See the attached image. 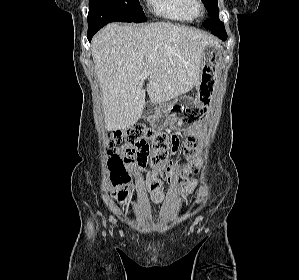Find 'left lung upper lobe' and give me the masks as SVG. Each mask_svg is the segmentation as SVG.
<instances>
[{
    "label": "left lung upper lobe",
    "instance_id": "obj_1",
    "mask_svg": "<svg viewBox=\"0 0 299 280\" xmlns=\"http://www.w3.org/2000/svg\"><path fill=\"white\" fill-rule=\"evenodd\" d=\"M218 0H203V3L208 11V15L211 17L203 22V26L206 29L215 30H225L224 23L218 18L219 8L217 6Z\"/></svg>",
    "mask_w": 299,
    "mask_h": 280
}]
</instances>
